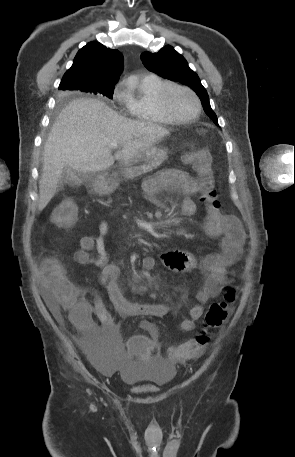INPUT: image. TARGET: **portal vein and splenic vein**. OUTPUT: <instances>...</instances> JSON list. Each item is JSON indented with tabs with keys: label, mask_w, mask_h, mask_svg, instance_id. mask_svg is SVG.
<instances>
[{
	"label": "portal vein and splenic vein",
	"mask_w": 295,
	"mask_h": 457,
	"mask_svg": "<svg viewBox=\"0 0 295 457\" xmlns=\"http://www.w3.org/2000/svg\"><path fill=\"white\" fill-rule=\"evenodd\" d=\"M118 147V142L113 141L110 143L109 148L110 149H116Z\"/></svg>",
	"instance_id": "obj_1"
}]
</instances>
